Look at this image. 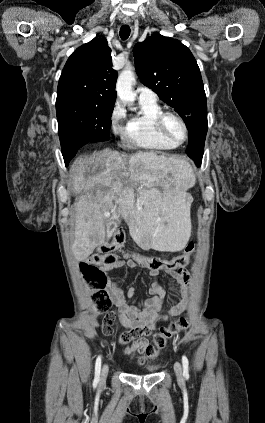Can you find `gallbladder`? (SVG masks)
I'll return each mask as SVG.
<instances>
[{"mask_svg":"<svg viewBox=\"0 0 265 423\" xmlns=\"http://www.w3.org/2000/svg\"><path fill=\"white\" fill-rule=\"evenodd\" d=\"M119 220H115V221H112L110 224H108V237L110 238L111 236H112V232H113V230H115L117 227H118V225H119Z\"/></svg>","mask_w":265,"mask_h":423,"instance_id":"obj_1","label":"gallbladder"}]
</instances>
